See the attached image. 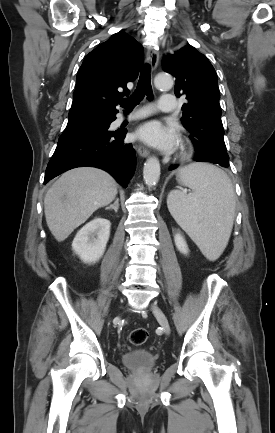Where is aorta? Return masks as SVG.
<instances>
[{
  "instance_id": "762f6f07",
  "label": "aorta",
  "mask_w": 275,
  "mask_h": 433,
  "mask_svg": "<svg viewBox=\"0 0 275 433\" xmlns=\"http://www.w3.org/2000/svg\"><path fill=\"white\" fill-rule=\"evenodd\" d=\"M154 84L159 89H170L173 86L172 76L169 74H158L154 79ZM143 178L149 187L155 186L160 178V163L156 157L147 159L144 169Z\"/></svg>"
}]
</instances>
